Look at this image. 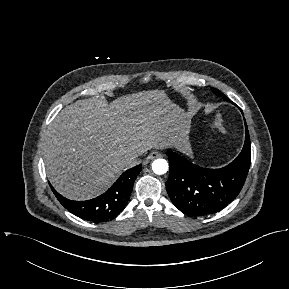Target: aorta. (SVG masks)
<instances>
[{
  "label": "aorta",
  "instance_id": "obj_1",
  "mask_svg": "<svg viewBox=\"0 0 289 289\" xmlns=\"http://www.w3.org/2000/svg\"><path fill=\"white\" fill-rule=\"evenodd\" d=\"M168 168V162L165 159H156L152 163V170L158 175L165 174Z\"/></svg>",
  "mask_w": 289,
  "mask_h": 289
}]
</instances>
